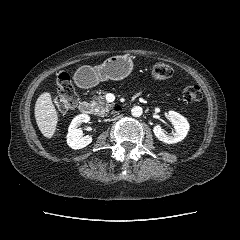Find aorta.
Here are the masks:
<instances>
[{
	"label": "aorta",
	"instance_id": "762f6f07",
	"mask_svg": "<svg viewBox=\"0 0 240 240\" xmlns=\"http://www.w3.org/2000/svg\"><path fill=\"white\" fill-rule=\"evenodd\" d=\"M143 113V110L140 106H134L132 109H131V114L134 116V117H140Z\"/></svg>",
	"mask_w": 240,
	"mask_h": 240
}]
</instances>
